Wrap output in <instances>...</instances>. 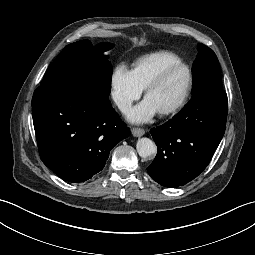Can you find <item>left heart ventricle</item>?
Here are the masks:
<instances>
[{"label": "left heart ventricle", "mask_w": 255, "mask_h": 255, "mask_svg": "<svg viewBox=\"0 0 255 255\" xmlns=\"http://www.w3.org/2000/svg\"><path fill=\"white\" fill-rule=\"evenodd\" d=\"M188 83L187 72L183 68L172 70L160 85L146 96L157 111L177 103L184 95Z\"/></svg>", "instance_id": "obj_1"}]
</instances>
